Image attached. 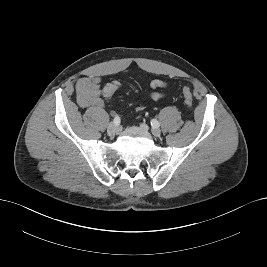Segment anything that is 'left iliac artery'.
I'll list each match as a JSON object with an SVG mask.
<instances>
[{
    "instance_id": "obj_1",
    "label": "left iliac artery",
    "mask_w": 267,
    "mask_h": 267,
    "mask_svg": "<svg viewBox=\"0 0 267 267\" xmlns=\"http://www.w3.org/2000/svg\"><path fill=\"white\" fill-rule=\"evenodd\" d=\"M151 125H152L153 127L158 128V127L160 126V123H159L156 119H152V120H151Z\"/></svg>"
}]
</instances>
